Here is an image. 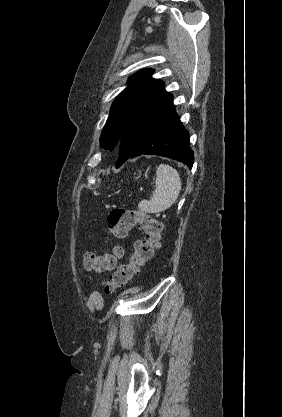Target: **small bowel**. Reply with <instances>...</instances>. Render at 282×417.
I'll use <instances>...</instances> for the list:
<instances>
[{"label": "small bowel", "instance_id": "1", "mask_svg": "<svg viewBox=\"0 0 282 417\" xmlns=\"http://www.w3.org/2000/svg\"><path fill=\"white\" fill-rule=\"evenodd\" d=\"M103 305H104V300H103L102 295L97 291L91 292L87 300V307L89 308V310L91 311L101 310L103 308Z\"/></svg>", "mask_w": 282, "mask_h": 417}]
</instances>
